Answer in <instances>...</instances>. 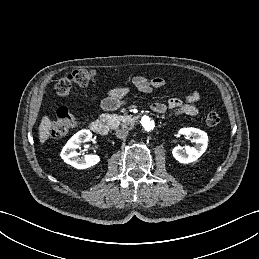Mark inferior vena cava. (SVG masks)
<instances>
[{
	"instance_id": "602c4592",
	"label": "inferior vena cava",
	"mask_w": 259,
	"mask_h": 259,
	"mask_svg": "<svg viewBox=\"0 0 259 259\" xmlns=\"http://www.w3.org/2000/svg\"><path fill=\"white\" fill-rule=\"evenodd\" d=\"M116 137L121 139L125 138L128 135V130L122 128V129H117L115 133Z\"/></svg>"
}]
</instances>
